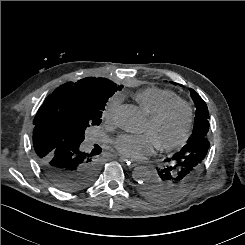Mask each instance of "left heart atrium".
Returning <instances> with one entry per match:
<instances>
[{
  "mask_svg": "<svg viewBox=\"0 0 245 245\" xmlns=\"http://www.w3.org/2000/svg\"><path fill=\"white\" fill-rule=\"evenodd\" d=\"M116 150L126 158L142 160L153 153L156 144L149 134H124L115 140Z\"/></svg>",
  "mask_w": 245,
  "mask_h": 245,
  "instance_id": "left-heart-atrium-1",
  "label": "left heart atrium"
}]
</instances>
